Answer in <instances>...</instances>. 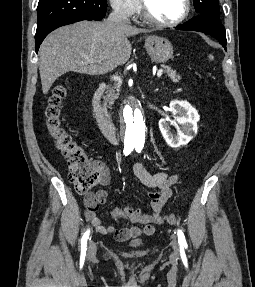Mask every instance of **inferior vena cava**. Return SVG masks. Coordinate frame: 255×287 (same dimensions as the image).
<instances>
[{
	"label": "inferior vena cava",
	"mask_w": 255,
	"mask_h": 287,
	"mask_svg": "<svg viewBox=\"0 0 255 287\" xmlns=\"http://www.w3.org/2000/svg\"><path fill=\"white\" fill-rule=\"evenodd\" d=\"M106 22L107 24H115V26H120V24H130L128 14L120 2H116V4H114L113 12L108 16V20H106Z\"/></svg>",
	"instance_id": "602c4592"
}]
</instances>
